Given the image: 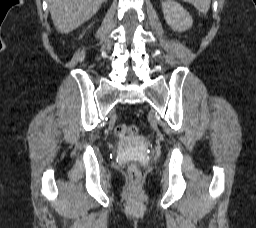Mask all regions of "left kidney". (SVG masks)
I'll return each mask as SVG.
<instances>
[{
    "mask_svg": "<svg viewBox=\"0 0 256 228\" xmlns=\"http://www.w3.org/2000/svg\"><path fill=\"white\" fill-rule=\"evenodd\" d=\"M162 11L167 24L174 31H185L193 24L190 14L177 2L165 0L162 3Z\"/></svg>",
    "mask_w": 256,
    "mask_h": 228,
    "instance_id": "left-kidney-1",
    "label": "left kidney"
}]
</instances>
